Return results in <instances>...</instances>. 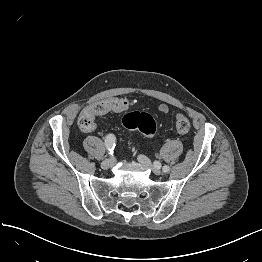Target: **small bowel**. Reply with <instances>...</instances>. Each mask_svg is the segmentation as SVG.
<instances>
[{"label":"small bowel","mask_w":262,"mask_h":262,"mask_svg":"<svg viewBox=\"0 0 262 262\" xmlns=\"http://www.w3.org/2000/svg\"><path fill=\"white\" fill-rule=\"evenodd\" d=\"M158 109H159V111H160L161 113L166 114V113H168V111H169V106H168L167 104H165V103H161V104L159 105ZM85 110H92V106L86 108ZM85 110H84V111H85ZM109 112H113V111L110 110V109H106V110L103 111V112L94 113V119H95L96 116H102V115H105V114H107V113H109ZM94 127H95V126H94ZM94 127H93L92 129H94ZM92 129H91V130H92ZM89 131H90V130H89Z\"/></svg>","instance_id":"obj_1"}]
</instances>
